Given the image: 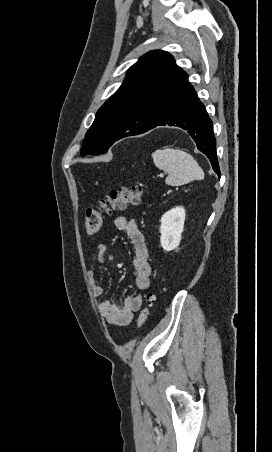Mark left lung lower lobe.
I'll use <instances>...</instances> for the list:
<instances>
[{
    "mask_svg": "<svg viewBox=\"0 0 272 452\" xmlns=\"http://www.w3.org/2000/svg\"><path fill=\"white\" fill-rule=\"evenodd\" d=\"M165 125L186 130L195 141L198 150L208 157L213 170L220 177L212 120L189 81L185 80L182 83L167 101L156 121L139 134Z\"/></svg>",
    "mask_w": 272,
    "mask_h": 452,
    "instance_id": "obj_1",
    "label": "left lung lower lobe"
}]
</instances>
